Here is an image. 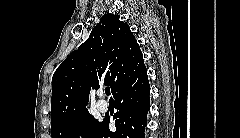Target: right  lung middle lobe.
Instances as JSON below:
<instances>
[{"label":"right lung middle lobe","instance_id":"dd1d6c3e","mask_svg":"<svg viewBox=\"0 0 240 138\" xmlns=\"http://www.w3.org/2000/svg\"><path fill=\"white\" fill-rule=\"evenodd\" d=\"M101 125L102 122H98L85 110L72 119L51 125V136L52 138H76L83 135L84 138H94Z\"/></svg>","mask_w":240,"mask_h":138}]
</instances>
